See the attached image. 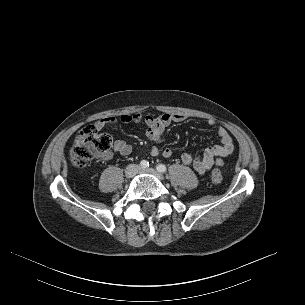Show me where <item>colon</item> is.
<instances>
[{
  "label": "colon",
  "mask_w": 305,
  "mask_h": 305,
  "mask_svg": "<svg viewBox=\"0 0 305 305\" xmlns=\"http://www.w3.org/2000/svg\"><path fill=\"white\" fill-rule=\"evenodd\" d=\"M112 146V137L101 132L95 125L82 128L75 136L74 145L70 152V160L77 167H85L100 153L107 152ZM223 180L220 170L211 173V182L219 184Z\"/></svg>",
  "instance_id": "1"
}]
</instances>
